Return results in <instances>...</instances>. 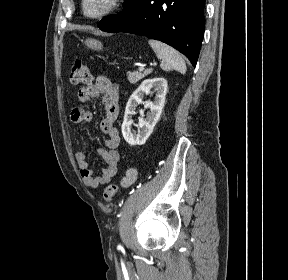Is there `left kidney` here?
Listing matches in <instances>:
<instances>
[{
	"label": "left kidney",
	"mask_w": 288,
	"mask_h": 280,
	"mask_svg": "<svg viewBox=\"0 0 288 280\" xmlns=\"http://www.w3.org/2000/svg\"><path fill=\"white\" fill-rule=\"evenodd\" d=\"M167 88V81L162 77L146 79L131 95L126 105L124 121L122 123V135L127 143L132 146L143 145L149 138L161 116ZM151 92L156 93L155 99L153 102L148 101L145 103L144 108L149 109L145 119L143 118L144 111H140L142 117L139 119V130L135 132L132 129V115L136 113L135 109L138 104L142 103L144 95Z\"/></svg>",
	"instance_id": "left-kidney-1"
}]
</instances>
